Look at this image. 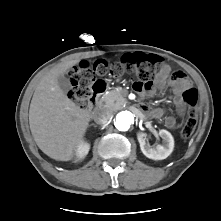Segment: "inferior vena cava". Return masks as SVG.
<instances>
[{"label": "inferior vena cava", "mask_w": 221, "mask_h": 221, "mask_svg": "<svg viewBox=\"0 0 221 221\" xmlns=\"http://www.w3.org/2000/svg\"><path fill=\"white\" fill-rule=\"evenodd\" d=\"M111 116L112 112L110 110L100 109L94 113L93 119L96 124L102 125L106 124L111 119Z\"/></svg>", "instance_id": "obj_1"}]
</instances>
